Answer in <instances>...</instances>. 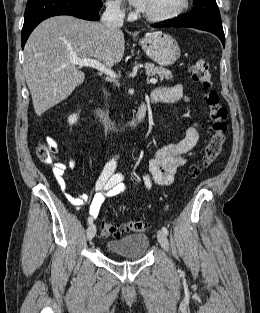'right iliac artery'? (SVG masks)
Masks as SVG:
<instances>
[{
    "label": "right iliac artery",
    "instance_id": "82829eb1",
    "mask_svg": "<svg viewBox=\"0 0 260 313\" xmlns=\"http://www.w3.org/2000/svg\"><path fill=\"white\" fill-rule=\"evenodd\" d=\"M92 222H93L92 219L89 217V218H88V223H89V224H92Z\"/></svg>",
    "mask_w": 260,
    "mask_h": 313
}]
</instances>
